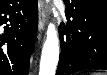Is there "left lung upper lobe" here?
<instances>
[{"instance_id":"1","label":"left lung upper lobe","mask_w":107,"mask_h":75,"mask_svg":"<svg viewBox=\"0 0 107 75\" xmlns=\"http://www.w3.org/2000/svg\"><path fill=\"white\" fill-rule=\"evenodd\" d=\"M100 8L107 9V0H96L90 4L80 5L79 9L71 14L72 22L74 23V33L76 36H82L83 38L86 37L83 23L81 21V13L91 12Z\"/></svg>"}]
</instances>
